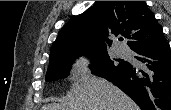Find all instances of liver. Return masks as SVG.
I'll return each instance as SVG.
<instances>
[{
  "instance_id": "6515ba94",
  "label": "liver",
  "mask_w": 171,
  "mask_h": 110,
  "mask_svg": "<svg viewBox=\"0 0 171 110\" xmlns=\"http://www.w3.org/2000/svg\"><path fill=\"white\" fill-rule=\"evenodd\" d=\"M71 97L62 103L42 106L41 110H139L119 88L102 78H86L73 84Z\"/></svg>"
}]
</instances>
